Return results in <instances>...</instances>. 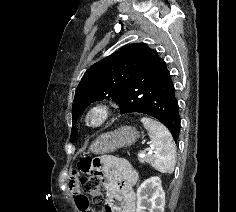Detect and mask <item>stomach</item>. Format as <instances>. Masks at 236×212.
<instances>
[{
  "mask_svg": "<svg viewBox=\"0 0 236 212\" xmlns=\"http://www.w3.org/2000/svg\"><path fill=\"white\" fill-rule=\"evenodd\" d=\"M139 138L135 127L123 126L119 129L100 135L91 145L90 150L95 154H107L116 149L133 145Z\"/></svg>",
  "mask_w": 236,
  "mask_h": 212,
  "instance_id": "stomach-1",
  "label": "stomach"
}]
</instances>
